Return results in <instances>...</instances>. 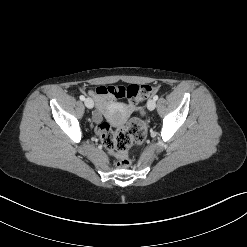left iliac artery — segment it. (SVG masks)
<instances>
[{"label": "left iliac artery", "mask_w": 247, "mask_h": 247, "mask_svg": "<svg viewBox=\"0 0 247 247\" xmlns=\"http://www.w3.org/2000/svg\"><path fill=\"white\" fill-rule=\"evenodd\" d=\"M153 99L156 101V100H158V95H155L154 97H153Z\"/></svg>", "instance_id": "left-iliac-artery-1"}]
</instances>
